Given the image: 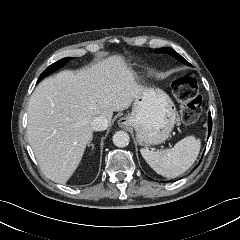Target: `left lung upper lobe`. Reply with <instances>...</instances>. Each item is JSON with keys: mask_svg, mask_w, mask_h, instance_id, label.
<instances>
[{"mask_svg": "<svg viewBox=\"0 0 240 240\" xmlns=\"http://www.w3.org/2000/svg\"><path fill=\"white\" fill-rule=\"evenodd\" d=\"M156 53H168V54L174 56L175 58H177L181 61H184V58L171 48H161V49L157 50ZM186 63L188 65H190L187 61H186Z\"/></svg>", "mask_w": 240, "mask_h": 240, "instance_id": "1", "label": "left lung upper lobe"}]
</instances>
